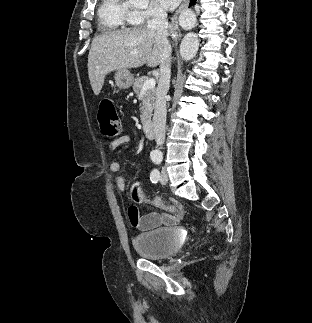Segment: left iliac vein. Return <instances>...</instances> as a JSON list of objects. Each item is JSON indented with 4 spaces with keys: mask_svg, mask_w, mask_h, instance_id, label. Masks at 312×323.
Instances as JSON below:
<instances>
[{
    "mask_svg": "<svg viewBox=\"0 0 312 323\" xmlns=\"http://www.w3.org/2000/svg\"><path fill=\"white\" fill-rule=\"evenodd\" d=\"M160 181L163 184H166L167 181H168L167 171H166V168L165 167L162 168V172H161V176H160Z\"/></svg>",
    "mask_w": 312,
    "mask_h": 323,
    "instance_id": "obj_1",
    "label": "left iliac vein"
}]
</instances>
